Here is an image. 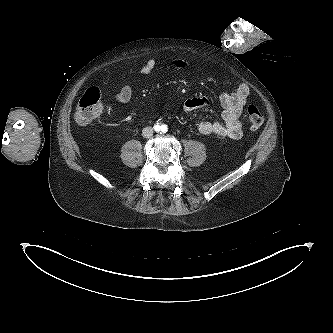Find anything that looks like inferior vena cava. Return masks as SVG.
I'll use <instances>...</instances> for the list:
<instances>
[{
    "label": "inferior vena cava",
    "instance_id": "obj_1",
    "mask_svg": "<svg viewBox=\"0 0 333 333\" xmlns=\"http://www.w3.org/2000/svg\"><path fill=\"white\" fill-rule=\"evenodd\" d=\"M153 135V128L148 126L143 128L142 130V136L145 138H150Z\"/></svg>",
    "mask_w": 333,
    "mask_h": 333
}]
</instances>
